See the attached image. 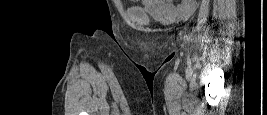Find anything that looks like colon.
<instances>
[{"mask_svg": "<svg viewBox=\"0 0 267 115\" xmlns=\"http://www.w3.org/2000/svg\"><path fill=\"white\" fill-rule=\"evenodd\" d=\"M192 0H183L182 2H191Z\"/></svg>", "mask_w": 267, "mask_h": 115, "instance_id": "obj_1", "label": "colon"}]
</instances>
